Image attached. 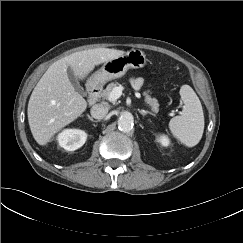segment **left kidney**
I'll return each instance as SVG.
<instances>
[{
    "instance_id": "obj_1",
    "label": "left kidney",
    "mask_w": 243,
    "mask_h": 243,
    "mask_svg": "<svg viewBox=\"0 0 243 243\" xmlns=\"http://www.w3.org/2000/svg\"><path fill=\"white\" fill-rule=\"evenodd\" d=\"M158 141L161 143L162 146H168L170 142L166 136H160L158 138Z\"/></svg>"
}]
</instances>
